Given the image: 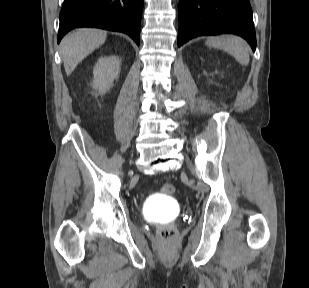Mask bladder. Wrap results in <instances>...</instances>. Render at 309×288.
Returning a JSON list of instances; mask_svg holds the SVG:
<instances>
[{
  "instance_id": "31cf9c89",
  "label": "bladder",
  "mask_w": 309,
  "mask_h": 288,
  "mask_svg": "<svg viewBox=\"0 0 309 288\" xmlns=\"http://www.w3.org/2000/svg\"><path fill=\"white\" fill-rule=\"evenodd\" d=\"M171 195H166L160 199L151 200L148 204L147 215L152 220H159L164 217L171 216L176 211V204L173 200H168Z\"/></svg>"
}]
</instances>
